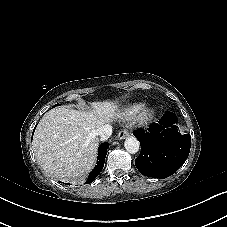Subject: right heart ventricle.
<instances>
[{
	"label": "right heart ventricle",
	"instance_id": "e07e8e85",
	"mask_svg": "<svg viewBox=\"0 0 227 227\" xmlns=\"http://www.w3.org/2000/svg\"><path fill=\"white\" fill-rule=\"evenodd\" d=\"M140 108L139 105H133L126 110V117L131 116Z\"/></svg>",
	"mask_w": 227,
	"mask_h": 227
}]
</instances>
